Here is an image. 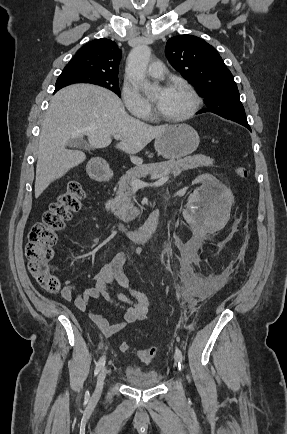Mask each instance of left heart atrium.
Instances as JSON below:
<instances>
[{
    "label": "left heart atrium",
    "mask_w": 287,
    "mask_h": 434,
    "mask_svg": "<svg viewBox=\"0 0 287 434\" xmlns=\"http://www.w3.org/2000/svg\"><path fill=\"white\" fill-rule=\"evenodd\" d=\"M166 90H167V89H162V90L159 92V94H158V96H157V98H156V103H160V102L162 101V99L164 98V96H165V94H166Z\"/></svg>",
    "instance_id": "39dd6f15"
}]
</instances>
